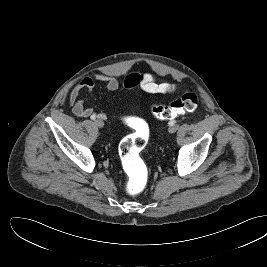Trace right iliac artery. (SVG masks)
I'll return each mask as SVG.
<instances>
[{
    "label": "right iliac artery",
    "instance_id": "right-iliac-artery-1",
    "mask_svg": "<svg viewBox=\"0 0 267 267\" xmlns=\"http://www.w3.org/2000/svg\"><path fill=\"white\" fill-rule=\"evenodd\" d=\"M90 118H91L92 120H95V119H96V116L93 115V116H91Z\"/></svg>",
    "mask_w": 267,
    "mask_h": 267
}]
</instances>
